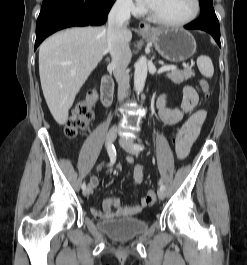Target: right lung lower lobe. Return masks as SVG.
<instances>
[{"instance_id": "right-lung-lower-lobe-1", "label": "right lung lower lobe", "mask_w": 247, "mask_h": 265, "mask_svg": "<svg viewBox=\"0 0 247 265\" xmlns=\"http://www.w3.org/2000/svg\"><path fill=\"white\" fill-rule=\"evenodd\" d=\"M115 0H43L35 49L52 33L72 26L101 25Z\"/></svg>"}]
</instances>
